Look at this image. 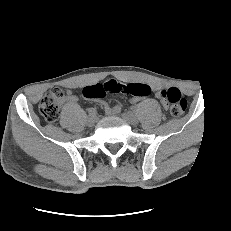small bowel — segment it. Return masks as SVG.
Listing matches in <instances>:
<instances>
[{
    "mask_svg": "<svg viewBox=\"0 0 231 231\" xmlns=\"http://www.w3.org/2000/svg\"><path fill=\"white\" fill-rule=\"evenodd\" d=\"M149 86V85H148ZM150 89L154 90L156 92V96L158 98L161 99V101L163 102L162 100V86L159 85V84H152L151 86H149ZM140 99V97H136V96H133V101H138ZM65 101L66 102H69V103H74L77 101V97L71 93H69L66 97H65ZM104 105V108H105V111L108 113V114H116L120 111V107L119 106H110L106 103L103 104Z\"/></svg>",
    "mask_w": 231,
    "mask_h": 231,
    "instance_id": "small-bowel-1",
    "label": "small bowel"
}]
</instances>
